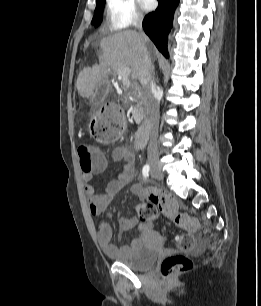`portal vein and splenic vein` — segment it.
<instances>
[{"mask_svg": "<svg viewBox=\"0 0 261 306\" xmlns=\"http://www.w3.org/2000/svg\"><path fill=\"white\" fill-rule=\"evenodd\" d=\"M130 73H131L130 68H123L117 73L118 78L122 80V84L126 87H129L131 85V82L129 79Z\"/></svg>", "mask_w": 261, "mask_h": 306, "instance_id": "18ae733b", "label": "portal vein and splenic vein"}]
</instances>
